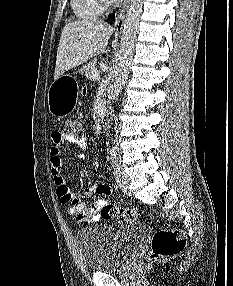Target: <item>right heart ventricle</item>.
Instances as JSON below:
<instances>
[{"instance_id":"obj_1","label":"right heart ventricle","mask_w":233,"mask_h":286,"mask_svg":"<svg viewBox=\"0 0 233 286\" xmlns=\"http://www.w3.org/2000/svg\"><path fill=\"white\" fill-rule=\"evenodd\" d=\"M71 7L75 15L81 20L96 19L103 11L98 0H71Z\"/></svg>"}]
</instances>
